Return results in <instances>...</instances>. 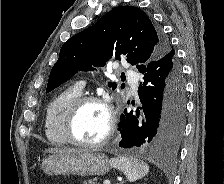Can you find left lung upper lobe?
Returning <instances> with one entry per match:
<instances>
[{
    "mask_svg": "<svg viewBox=\"0 0 224 184\" xmlns=\"http://www.w3.org/2000/svg\"><path fill=\"white\" fill-rule=\"evenodd\" d=\"M171 49L141 9L133 6L114 8L63 44L50 72L46 92L78 71L104 66L113 55L118 60L127 57V62L141 70ZM108 85L113 90L116 88L115 83Z\"/></svg>",
    "mask_w": 224,
    "mask_h": 184,
    "instance_id": "obj_1",
    "label": "left lung upper lobe"
}]
</instances>
